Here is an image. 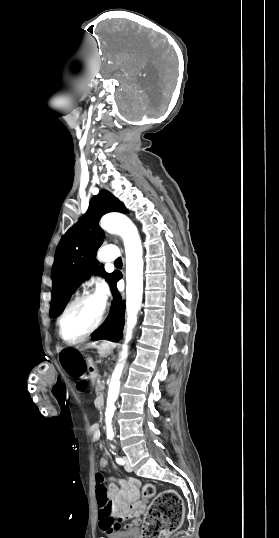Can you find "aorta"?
<instances>
[{"mask_svg":"<svg viewBox=\"0 0 279 538\" xmlns=\"http://www.w3.org/2000/svg\"><path fill=\"white\" fill-rule=\"evenodd\" d=\"M102 229L122 237L126 253V311L127 332L120 361L127 357V343L132 337V330L137 322V314L141 308L143 294V258L142 245L137 228L129 218L122 214H107L101 219ZM124 362L118 363L112 373L109 384L107 406L105 412L107 437H114L112 417L115 411V401L119 394L120 377Z\"/></svg>","mask_w":279,"mask_h":538,"instance_id":"aorta-1","label":"aorta"}]
</instances>
